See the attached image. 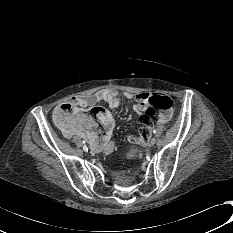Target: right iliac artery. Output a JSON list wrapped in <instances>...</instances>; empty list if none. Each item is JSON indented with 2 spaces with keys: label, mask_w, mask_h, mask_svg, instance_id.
I'll return each instance as SVG.
<instances>
[{
  "label": "right iliac artery",
  "mask_w": 233,
  "mask_h": 233,
  "mask_svg": "<svg viewBox=\"0 0 233 233\" xmlns=\"http://www.w3.org/2000/svg\"><path fill=\"white\" fill-rule=\"evenodd\" d=\"M83 143H85V141H83ZM83 150L87 152L88 151L87 146H83Z\"/></svg>",
  "instance_id": "1"
}]
</instances>
